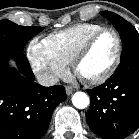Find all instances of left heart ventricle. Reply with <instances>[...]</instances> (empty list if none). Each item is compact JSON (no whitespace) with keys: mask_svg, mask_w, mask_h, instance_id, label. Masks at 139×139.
Returning a JSON list of instances; mask_svg holds the SVG:
<instances>
[{"mask_svg":"<svg viewBox=\"0 0 139 139\" xmlns=\"http://www.w3.org/2000/svg\"><path fill=\"white\" fill-rule=\"evenodd\" d=\"M116 53V39L110 32L102 34L90 51L81 60L78 72L81 77L91 79L102 75L111 65Z\"/></svg>","mask_w":139,"mask_h":139,"instance_id":"obj_1","label":"left heart ventricle"}]
</instances>
